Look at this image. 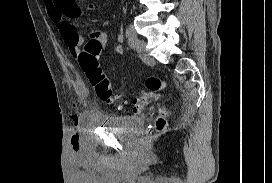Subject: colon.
Listing matches in <instances>:
<instances>
[{
    "mask_svg": "<svg viewBox=\"0 0 272 183\" xmlns=\"http://www.w3.org/2000/svg\"><path fill=\"white\" fill-rule=\"evenodd\" d=\"M102 44L96 40L88 41L79 53L78 61L83 72L93 85L98 98L107 103L116 102L110 81L102 72L99 65V56L102 51ZM147 92L130 101L131 109L138 112L151 100L153 95L165 87V82L157 76H149L145 80ZM166 112L161 110V115L157 120V128L162 129L165 126Z\"/></svg>",
    "mask_w": 272,
    "mask_h": 183,
    "instance_id": "5ec220e1",
    "label": "colon"
}]
</instances>
